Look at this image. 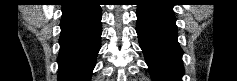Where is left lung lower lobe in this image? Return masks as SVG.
Listing matches in <instances>:
<instances>
[{
    "label": "left lung lower lobe",
    "mask_w": 237,
    "mask_h": 81,
    "mask_svg": "<svg viewBox=\"0 0 237 81\" xmlns=\"http://www.w3.org/2000/svg\"><path fill=\"white\" fill-rule=\"evenodd\" d=\"M136 31L154 81H180L184 68L177 42L173 4L168 0H145L138 4Z\"/></svg>",
    "instance_id": "obj_1"
}]
</instances>
